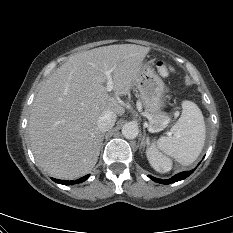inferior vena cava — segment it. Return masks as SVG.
<instances>
[{"instance_id":"inferior-vena-cava-1","label":"inferior vena cava","mask_w":233,"mask_h":233,"mask_svg":"<svg viewBox=\"0 0 233 233\" xmlns=\"http://www.w3.org/2000/svg\"><path fill=\"white\" fill-rule=\"evenodd\" d=\"M116 114L107 110L104 111L97 120V126L101 132L111 129L116 122Z\"/></svg>"}]
</instances>
